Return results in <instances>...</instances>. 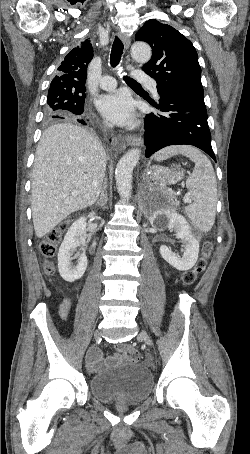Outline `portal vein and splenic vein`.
Wrapping results in <instances>:
<instances>
[{"mask_svg":"<svg viewBox=\"0 0 250 454\" xmlns=\"http://www.w3.org/2000/svg\"><path fill=\"white\" fill-rule=\"evenodd\" d=\"M184 202H190V199L188 198V196H186V197L184 198Z\"/></svg>","mask_w":250,"mask_h":454,"instance_id":"portal-vein-and-splenic-vein-1","label":"portal vein and splenic vein"}]
</instances>
